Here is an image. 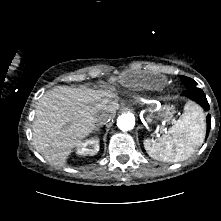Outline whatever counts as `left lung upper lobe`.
I'll return each mask as SVG.
<instances>
[{
	"mask_svg": "<svg viewBox=\"0 0 221 221\" xmlns=\"http://www.w3.org/2000/svg\"><path fill=\"white\" fill-rule=\"evenodd\" d=\"M180 79L182 80V82L185 84V86L187 88H192V87H196L197 83L189 78V77H186V76H180Z\"/></svg>",
	"mask_w": 221,
	"mask_h": 221,
	"instance_id": "left-lung-upper-lobe-1",
	"label": "left lung upper lobe"
}]
</instances>
